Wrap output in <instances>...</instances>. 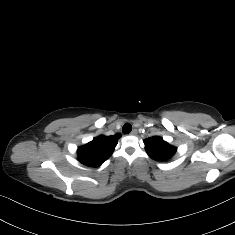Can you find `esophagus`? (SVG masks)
<instances>
[{"label":"esophagus","mask_w":235,"mask_h":235,"mask_svg":"<svg viewBox=\"0 0 235 235\" xmlns=\"http://www.w3.org/2000/svg\"><path fill=\"white\" fill-rule=\"evenodd\" d=\"M137 133H138L137 129H133V130L131 131L130 135H137Z\"/></svg>","instance_id":"esophagus-1"}]
</instances>
